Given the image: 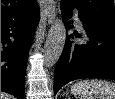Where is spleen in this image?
I'll use <instances>...</instances> for the list:
<instances>
[{
	"label": "spleen",
	"instance_id": "spleen-1",
	"mask_svg": "<svg viewBox=\"0 0 115 99\" xmlns=\"http://www.w3.org/2000/svg\"><path fill=\"white\" fill-rule=\"evenodd\" d=\"M71 93L76 99H115V84L103 80H83L75 83Z\"/></svg>",
	"mask_w": 115,
	"mask_h": 99
}]
</instances>
